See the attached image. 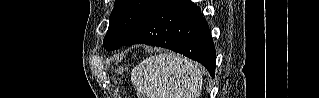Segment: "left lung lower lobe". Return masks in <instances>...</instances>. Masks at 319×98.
Returning a JSON list of instances; mask_svg holds the SVG:
<instances>
[{"label":"left lung lower lobe","instance_id":"1","mask_svg":"<svg viewBox=\"0 0 319 98\" xmlns=\"http://www.w3.org/2000/svg\"><path fill=\"white\" fill-rule=\"evenodd\" d=\"M145 43L181 53L204 65L214 77L216 54L200 8L189 0H157L126 46Z\"/></svg>","mask_w":319,"mask_h":98}]
</instances>
